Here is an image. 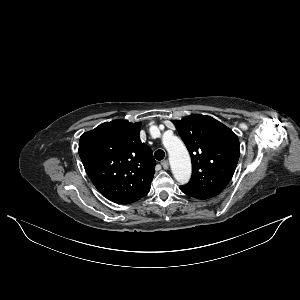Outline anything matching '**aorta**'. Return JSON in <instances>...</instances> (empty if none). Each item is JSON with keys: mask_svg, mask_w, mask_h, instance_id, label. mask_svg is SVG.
I'll use <instances>...</instances> for the list:
<instances>
[{"mask_svg": "<svg viewBox=\"0 0 300 300\" xmlns=\"http://www.w3.org/2000/svg\"><path fill=\"white\" fill-rule=\"evenodd\" d=\"M163 144L169 154L174 178L180 184H186L191 177V159L184 143L177 136L165 133Z\"/></svg>", "mask_w": 300, "mask_h": 300, "instance_id": "1", "label": "aorta"}]
</instances>
